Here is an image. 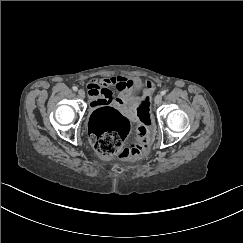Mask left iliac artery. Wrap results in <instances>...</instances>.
I'll return each mask as SVG.
<instances>
[{"label":"left iliac artery","mask_w":243,"mask_h":243,"mask_svg":"<svg viewBox=\"0 0 243 243\" xmlns=\"http://www.w3.org/2000/svg\"><path fill=\"white\" fill-rule=\"evenodd\" d=\"M166 94V90L161 91V95H165Z\"/></svg>","instance_id":"obj_1"}]
</instances>
